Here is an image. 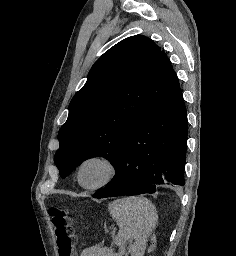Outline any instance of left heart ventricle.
Here are the masks:
<instances>
[{
  "label": "left heart ventricle",
  "instance_id": "left-heart-ventricle-1",
  "mask_svg": "<svg viewBox=\"0 0 236 256\" xmlns=\"http://www.w3.org/2000/svg\"><path fill=\"white\" fill-rule=\"evenodd\" d=\"M107 172L108 169L105 164L99 161H92L83 166L81 179L84 184H96L107 175Z\"/></svg>",
  "mask_w": 236,
  "mask_h": 256
}]
</instances>
